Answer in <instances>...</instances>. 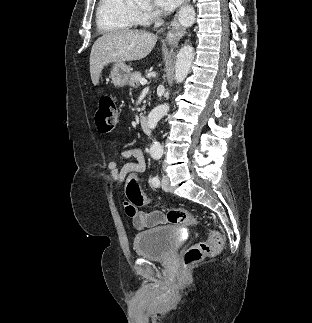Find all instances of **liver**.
Masks as SVG:
<instances>
[{
    "instance_id": "liver-1",
    "label": "liver",
    "mask_w": 312,
    "mask_h": 323,
    "mask_svg": "<svg viewBox=\"0 0 312 323\" xmlns=\"http://www.w3.org/2000/svg\"><path fill=\"white\" fill-rule=\"evenodd\" d=\"M157 42L155 34L139 30L108 32L94 42L90 54V74L92 84H99L104 66L111 62L123 64L132 60H142L152 52Z\"/></svg>"
}]
</instances>
